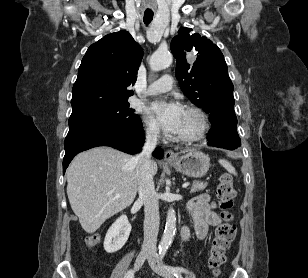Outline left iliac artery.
I'll list each match as a JSON object with an SVG mask.
<instances>
[{
	"label": "left iliac artery",
	"instance_id": "left-iliac-artery-1",
	"mask_svg": "<svg viewBox=\"0 0 308 278\" xmlns=\"http://www.w3.org/2000/svg\"><path fill=\"white\" fill-rule=\"evenodd\" d=\"M166 254V248H162L159 251V258L162 260ZM169 272H171L176 278H182L181 273H187L182 267L164 266Z\"/></svg>",
	"mask_w": 308,
	"mask_h": 278
}]
</instances>
